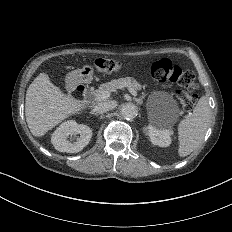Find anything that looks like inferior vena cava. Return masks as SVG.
<instances>
[{
    "instance_id": "1",
    "label": "inferior vena cava",
    "mask_w": 232,
    "mask_h": 232,
    "mask_svg": "<svg viewBox=\"0 0 232 232\" xmlns=\"http://www.w3.org/2000/svg\"><path fill=\"white\" fill-rule=\"evenodd\" d=\"M116 107V102L114 101H107V102H102L99 103L96 107H95V111L97 113H105L109 110H112Z\"/></svg>"
}]
</instances>
